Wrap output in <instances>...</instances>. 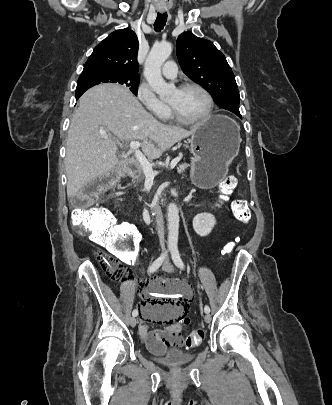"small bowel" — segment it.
Listing matches in <instances>:
<instances>
[{
	"label": "small bowel",
	"instance_id": "small-bowel-1",
	"mask_svg": "<svg viewBox=\"0 0 332 405\" xmlns=\"http://www.w3.org/2000/svg\"><path fill=\"white\" fill-rule=\"evenodd\" d=\"M180 286L185 288H178ZM190 295V288L176 280L156 279L143 288L140 307L143 322L139 333L147 349L171 353L172 349L185 346L183 329L188 325H181L180 318L187 316ZM149 322H161L164 329H151Z\"/></svg>",
	"mask_w": 332,
	"mask_h": 405
}]
</instances>
